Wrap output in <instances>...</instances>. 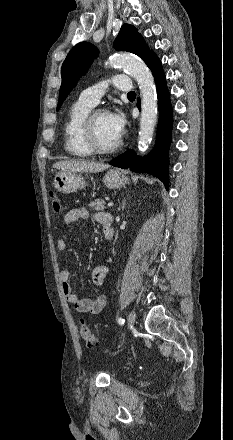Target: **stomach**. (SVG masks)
<instances>
[{"label":"stomach","instance_id":"1","mask_svg":"<svg viewBox=\"0 0 233 440\" xmlns=\"http://www.w3.org/2000/svg\"><path fill=\"white\" fill-rule=\"evenodd\" d=\"M128 182V178L116 169L109 170L104 176V185L109 189H119ZM54 187L61 193H72L86 186L84 177L77 172H59L54 177Z\"/></svg>","mask_w":233,"mask_h":440}]
</instances>
